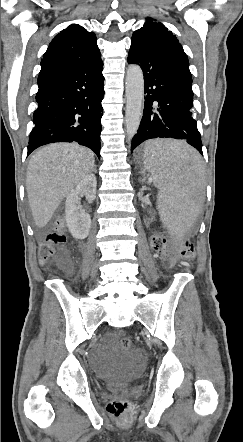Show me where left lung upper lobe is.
Segmentation results:
<instances>
[{
	"label": "left lung upper lobe",
	"instance_id": "1",
	"mask_svg": "<svg viewBox=\"0 0 243 442\" xmlns=\"http://www.w3.org/2000/svg\"><path fill=\"white\" fill-rule=\"evenodd\" d=\"M132 41L187 59L181 44L172 32L152 18H148L144 26L133 33Z\"/></svg>",
	"mask_w": 243,
	"mask_h": 442
}]
</instances>
